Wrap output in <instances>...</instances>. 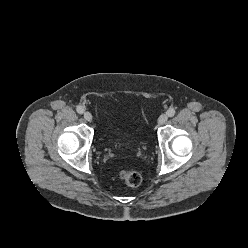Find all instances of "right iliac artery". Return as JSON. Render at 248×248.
<instances>
[{
	"label": "right iliac artery",
	"instance_id": "obj_1",
	"mask_svg": "<svg viewBox=\"0 0 248 248\" xmlns=\"http://www.w3.org/2000/svg\"><path fill=\"white\" fill-rule=\"evenodd\" d=\"M76 110H77V112H78L79 114H82V113H84V111H85V109H84L83 106H78Z\"/></svg>",
	"mask_w": 248,
	"mask_h": 248
}]
</instances>
